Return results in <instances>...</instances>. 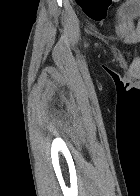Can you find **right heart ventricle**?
Segmentation results:
<instances>
[{"mask_svg":"<svg viewBox=\"0 0 140 196\" xmlns=\"http://www.w3.org/2000/svg\"><path fill=\"white\" fill-rule=\"evenodd\" d=\"M92 192H110V191H92Z\"/></svg>","mask_w":140,"mask_h":196,"instance_id":"e07e8e85","label":"right heart ventricle"}]
</instances>
